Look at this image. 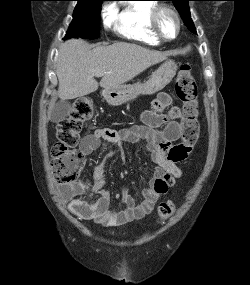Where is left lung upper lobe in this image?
I'll return each instance as SVG.
<instances>
[{
  "label": "left lung upper lobe",
  "mask_w": 250,
  "mask_h": 285,
  "mask_svg": "<svg viewBox=\"0 0 250 285\" xmlns=\"http://www.w3.org/2000/svg\"><path fill=\"white\" fill-rule=\"evenodd\" d=\"M169 1L173 2L174 6L179 11L183 19V22L188 27V29L191 32L196 33L194 24L191 20L190 10H189V5H188V2L191 0H169Z\"/></svg>",
  "instance_id": "5c2ea615"
}]
</instances>
